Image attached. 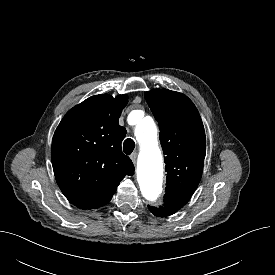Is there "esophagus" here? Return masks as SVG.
<instances>
[{"label":"esophagus","instance_id":"1","mask_svg":"<svg viewBox=\"0 0 275 275\" xmlns=\"http://www.w3.org/2000/svg\"><path fill=\"white\" fill-rule=\"evenodd\" d=\"M130 158H131V160H132L133 163H136V160H137V153H136V152L132 153V154L130 155Z\"/></svg>","mask_w":275,"mask_h":275}]
</instances>
